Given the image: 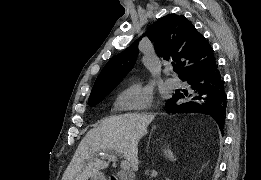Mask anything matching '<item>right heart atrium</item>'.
<instances>
[{
    "mask_svg": "<svg viewBox=\"0 0 261 180\" xmlns=\"http://www.w3.org/2000/svg\"><path fill=\"white\" fill-rule=\"evenodd\" d=\"M116 102L121 108H129V112H132V108H151L154 95L150 88L134 84L121 91L116 97Z\"/></svg>",
    "mask_w": 261,
    "mask_h": 180,
    "instance_id": "obj_1",
    "label": "right heart atrium"
}]
</instances>
